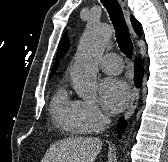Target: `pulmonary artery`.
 <instances>
[{"mask_svg":"<svg viewBox=\"0 0 168 162\" xmlns=\"http://www.w3.org/2000/svg\"><path fill=\"white\" fill-rule=\"evenodd\" d=\"M100 68L107 74L116 75L122 71L121 58L114 53L105 54L99 61Z\"/></svg>","mask_w":168,"mask_h":162,"instance_id":"e3ab8cb5","label":"pulmonary artery"}]
</instances>
